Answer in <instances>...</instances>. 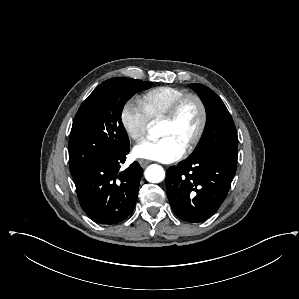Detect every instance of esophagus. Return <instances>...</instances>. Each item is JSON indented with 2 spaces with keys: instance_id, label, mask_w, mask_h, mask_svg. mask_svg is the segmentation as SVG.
<instances>
[{
  "instance_id": "1",
  "label": "esophagus",
  "mask_w": 299,
  "mask_h": 299,
  "mask_svg": "<svg viewBox=\"0 0 299 299\" xmlns=\"http://www.w3.org/2000/svg\"><path fill=\"white\" fill-rule=\"evenodd\" d=\"M149 163L150 161L148 160H139V164L142 168H145Z\"/></svg>"
}]
</instances>
